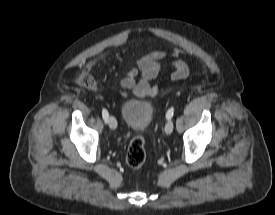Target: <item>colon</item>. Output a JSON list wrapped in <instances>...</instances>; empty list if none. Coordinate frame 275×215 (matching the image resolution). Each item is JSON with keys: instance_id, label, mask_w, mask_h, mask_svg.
I'll list each match as a JSON object with an SVG mask.
<instances>
[{"instance_id": "obj_1", "label": "colon", "mask_w": 275, "mask_h": 215, "mask_svg": "<svg viewBox=\"0 0 275 215\" xmlns=\"http://www.w3.org/2000/svg\"><path fill=\"white\" fill-rule=\"evenodd\" d=\"M77 82L86 89L93 90L96 87L94 79L89 74H82L77 78ZM145 160V137L143 135L135 136L127 150L126 162L135 169L139 170Z\"/></svg>"}]
</instances>
